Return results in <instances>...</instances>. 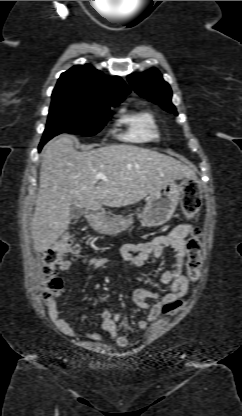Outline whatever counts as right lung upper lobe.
I'll list each match as a JSON object with an SVG mask.
<instances>
[{
	"label": "right lung upper lobe",
	"mask_w": 242,
	"mask_h": 416,
	"mask_svg": "<svg viewBox=\"0 0 242 416\" xmlns=\"http://www.w3.org/2000/svg\"><path fill=\"white\" fill-rule=\"evenodd\" d=\"M129 93L120 77H105L87 64L76 65L61 74L52 100L121 102Z\"/></svg>",
	"instance_id": "cb5924a9"
}]
</instances>
